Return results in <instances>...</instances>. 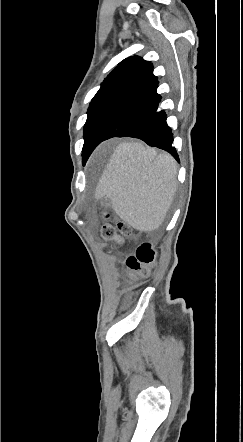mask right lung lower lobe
I'll return each mask as SVG.
<instances>
[{
    "label": "right lung lower lobe",
    "mask_w": 243,
    "mask_h": 442,
    "mask_svg": "<svg viewBox=\"0 0 243 442\" xmlns=\"http://www.w3.org/2000/svg\"><path fill=\"white\" fill-rule=\"evenodd\" d=\"M158 80L138 88L122 98L102 119L83 153L86 162L92 151L104 140L112 137H133L149 146L169 152L177 161L172 146L171 128L166 123L164 110L158 111L161 96L157 93Z\"/></svg>",
    "instance_id": "obj_1"
}]
</instances>
